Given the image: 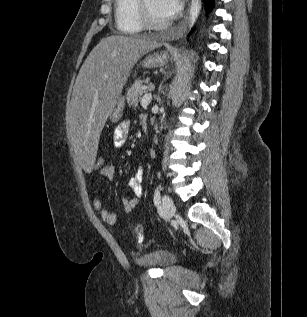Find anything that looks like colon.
Here are the masks:
<instances>
[{"label":"colon","mask_w":307,"mask_h":317,"mask_svg":"<svg viewBox=\"0 0 307 317\" xmlns=\"http://www.w3.org/2000/svg\"><path fill=\"white\" fill-rule=\"evenodd\" d=\"M106 165V162H105V159L103 156H97L96 157V160H95V163H94V168L95 169H102L104 166ZM134 233H135V236L136 238L141 241L142 239V228L140 225H136L134 227Z\"/></svg>","instance_id":"1"}]
</instances>
